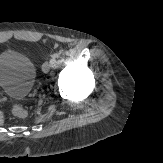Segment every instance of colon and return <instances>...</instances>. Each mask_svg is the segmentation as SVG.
Instances as JSON below:
<instances>
[{
    "label": "colon",
    "mask_w": 163,
    "mask_h": 163,
    "mask_svg": "<svg viewBox=\"0 0 163 163\" xmlns=\"http://www.w3.org/2000/svg\"><path fill=\"white\" fill-rule=\"evenodd\" d=\"M11 112L14 116L18 118H25L27 116V110L20 105H13L11 108Z\"/></svg>",
    "instance_id": "colon-1"
}]
</instances>
